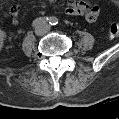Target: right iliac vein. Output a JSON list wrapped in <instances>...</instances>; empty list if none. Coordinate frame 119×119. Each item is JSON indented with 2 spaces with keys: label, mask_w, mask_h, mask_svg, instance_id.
<instances>
[{
  "label": "right iliac vein",
  "mask_w": 119,
  "mask_h": 119,
  "mask_svg": "<svg viewBox=\"0 0 119 119\" xmlns=\"http://www.w3.org/2000/svg\"><path fill=\"white\" fill-rule=\"evenodd\" d=\"M36 33H37L38 35H41V34L43 33V28H42V27L38 28V29L36 30Z\"/></svg>",
  "instance_id": "63e3f726"
}]
</instances>
